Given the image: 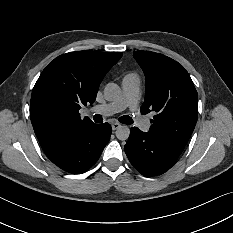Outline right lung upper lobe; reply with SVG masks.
<instances>
[{
  "label": "right lung upper lobe",
  "mask_w": 233,
  "mask_h": 233,
  "mask_svg": "<svg viewBox=\"0 0 233 233\" xmlns=\"http://www.w3.org/2000/svg\"><path fill=\"white\" fill-rule=\"evenodd\" d=\"M122 53L79 51L55 58L32 92L31 122L42 148L95 124L81 119V105L92 104L99 85Z\"/></svg>",
  "instance_id": "obj_1"
}]
</instances>
